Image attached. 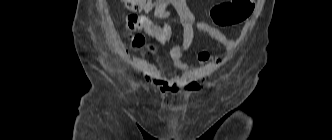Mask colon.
<instances>
[{
	"label": "colon",
	"instance_id": "1",
	"mask_svg": "<svg viewBox=\"0 0 332 140\" xmlns=\"http://www.w3.org/2000/svg\"><path fill=\"white\" fill-rule=\"evenodd\" d=\"M124 5L134 12L126 19V28L130 32L144 31L151 37L161 35L166 38L173 37L174 26L171 23L158 24L148 16L137 14L158 0H121ZM256 0H227L214 5L210 10L213 23L220 27L233 26L247 20L252 14ZM132 43L139 48L145 44L140 34H132Z\"/></svg>",
	"mask_w": 332,
	"mask_h": 140
}]
</instances>
